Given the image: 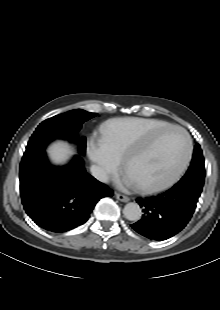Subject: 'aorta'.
I'll use <instances>...</instances> for the list:
<instances>
[{"mask_svg":"<svg viewBox=\"0 0 220 310\" xmlns=\"http://www.w3.org/2000/svg\"><path fill=\"white\" fill-rule=\"evenodd\" d=\"M123 214L130 221H138L141 218L142 212L139 204L129 202L125 205Z\"/></svg>","mask_w":220,"mask_h":310,"instance_id":"1","label":"aorta"}]
</instances>
